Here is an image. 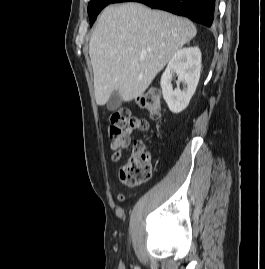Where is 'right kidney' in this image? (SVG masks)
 <instances>
[{
    "label": "right kidney",
    "instance_id": "1",
    "mask_svg": "<svg viewBox=\"0 0 265 269\" xmlns=\"http://www.w3.org/2000/svg\"><path fill=\"white\" fill-rule=\"evenodd\" d=\"M201 72V51L198 47L180 49L169 61L162 77L163 98L172 113H180L189 104L196 91ZM178 77L177 88L173 90L172 77ZM180 82L184 84L180 89Z\"/></svg>",
    "mask_w": 265,
    "mask_h": 269
}]
</instances>
